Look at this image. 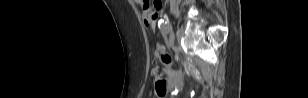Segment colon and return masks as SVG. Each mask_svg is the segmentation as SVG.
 <instances>
[{"label":"colon","instance_id":"colon-1","mask_svg":"<svg viewBox=\"0 0 308 98\" xmlns=\"http://www.w3.org/2000/svg\"><path fill=\"white\" fill-rule=\"evenodd\" d=\"M161 1L160 0H155L153 2V9H140L139 10V15L143 16V21H144V26L146 27L147 31H156L157 26L156 24H152V22L154 21L155 17H156V12L155 10L158 9V7L160 6ZM157 54L159 59L161 60L162 63H164L167 66H172L173 61L172 58L169 54L162 52L161 48H158L157 50ZM155 75H156V81H155V88L157 93L160 96H163L166 92L165 89V80L161 79L160 75L158 74L157 71H155Z\"/></svg>","mask_w":308,"mask_h":98}]
</instances>
